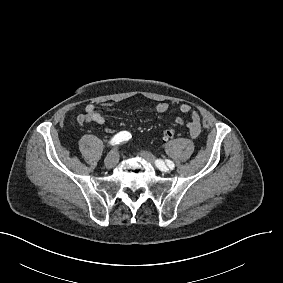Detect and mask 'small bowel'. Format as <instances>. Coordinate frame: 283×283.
<instances>
[{
  "label": "small bowel",
  "instance_id": "small-bowel-1",
  "mask_svg": "<svg viewBox=\"0 0 283 283\" xmlns=\"http://www.w3.org/2000/svg\"><path fill=\"white\" fill-rule=\"evenodd\" d=\"M103 108H110L112 104L104 103L101 104ZM168 110V105L164 102H159L155 105V113L157 115H162L166 113ZM179 110L183 114H190V121L185 123L183 118L178 117L176 118L177 125H186L189 129V134L192 139H196L199 137L201 132V116L199 112L192 110V107L187 103H182L179 106ZM77 121L79 124H86V123H97V124H105L106 117L98 110L97 105L90 103L85 106L84 113L80 114L77 117ZM109 133H113L112 129H107Z\"/></svg>",
  "mask_w": 283,
  "mask_h": 283
}]
</instances>
